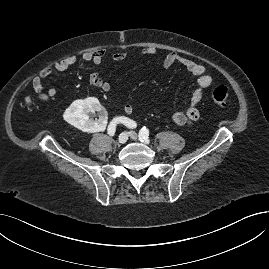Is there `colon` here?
<instances>
[{"label": "colon", "mask_w": 269, "mask_h": 269, "mask_svg": "<svg viewBox=\"0 0 269 269\" xmlns=\"http://www.w3.org/2000/svg\"><path fill=\"white\" fill-rule=\"evenodd\" d=\"M211 99L215 104L227 105L232 100V94L226 86H219L212 92Z\"/></svg>", "instance_id": "1"}]
</instances>
